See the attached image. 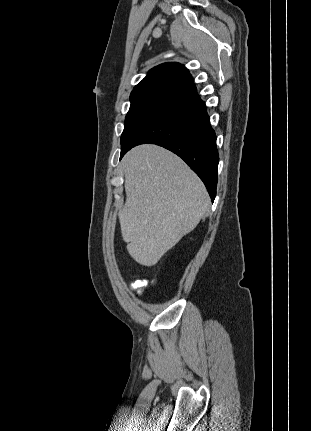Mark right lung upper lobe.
Returning <instances> with one entry per match:
<instances>
[{
    "label": "right lung upper lobe",
    "mask_w": 311,
    "mask_h": 431,
    "mask_svg": "<svg viewBox=\"0 0 311 431\" xmlns=\"http://www.w3.org/2000/svg\"><path fill=\"white\" fill-rule=\"evenodd\" d=\"M158 90L180 98L197 92L189 71L179 63H164L152 68L132 92Z\"/></svg>",
    "instance_id": "obj_1"
}]
</instances>
